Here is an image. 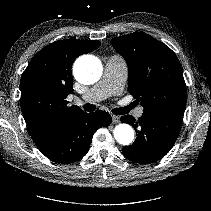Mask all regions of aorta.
I'll list each match as a JSON object with an SVG mask.
<instances>
[{"instance_id":"obj_1","label":"aorta","mask_w":211,"mask_h":211,"mask_svg":"<svg viewBox=\"0 0 211 211\" xmlns=\"http://www.w3.org/2000/svg\"><path fill=\"white\" fill-rule=\"evenodd\" d=\"M73 74L77 81L90 85L97 82L102 74V64L94 56L84 55L76 60ZM114 138L119 144L129 145L134 139V131L128 124H119L114 129Z\"/></svg>"}]
</instances>
